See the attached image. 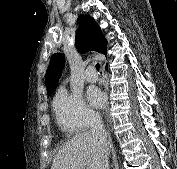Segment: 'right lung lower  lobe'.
Masks as SVG:
<instances>
[{
  "label": "right lung lower lobe",
  "instance_id": "1",
  "mask_svg": "<svg viewBox=\"0 0 177 169\" xmlns=\"http://www.w3.org/2000/svg\"><path fill=\"white\" fill-rule=\"evenodd\" d=\"M108 69V65H106V70Z\"/></svg>",
  "mask_w": 177,
  "mask_h": 169
}]
</instances>
